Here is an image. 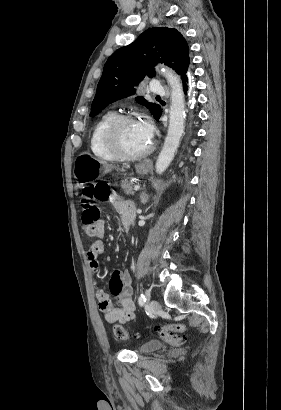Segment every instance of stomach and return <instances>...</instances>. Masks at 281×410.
<instances>
[{
	"label": "stomach",
	"instance_id": "1",
	"mask_svg": "<svg viewBox=\"0 0 281 410\" xmlns=\"http://www.w3.org/2000/svg\"><path fill=\"white\" fill-rule=\"evenodd\" d=\"M111 169L112 167L105 161L82 153L74 161L73 175L80 185H84L110 172ZM135 169L139 174H147L149 171L145 162L137 164Z\"/></svg>",
	"mask_w": 281,
	"mask_h": 410
}]
</instances>
